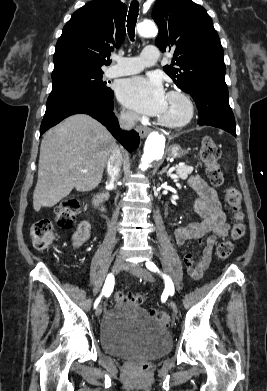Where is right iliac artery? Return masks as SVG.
<instances>
[{"instance_id":"1","label":"right iliac artery","mask_w":267,"mask_h":391,"mask_svg":"<svg viewBox=\"0 0 267 391\" xmlns=\"http://www.w3.org/2000/svg\"><path fill=\"white\" fill-rule=\"evenodd\" d=\"M113 287H114V277L112 274H109L106 281H105V284H104V287L102 290V295L103 294L109 295L112 292ZM100 299H101V296L95 301L94 307H96L98 305Z\"/></svg>"}]
</instances>
